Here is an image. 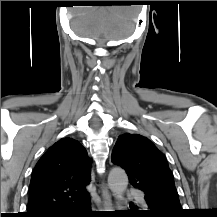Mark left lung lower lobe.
Returning a JSON list of instances; mask_svg holds the SVG:
<instances>
[{
    "label": "left lung lower lobe",
    "mask_w": 217,
    "mask_h": 217,
    "mask_svg": "<svg viewBox=\"0 0 217 217\" xmlns=\"http://www.w3.org/2000/svg\"><path fill=\"white\" fill-rule=\"evenodd\" d=\"M150 210L146 211L145 214L149 217H176L177 215H173V214H169V213H165V212H161L156 210L152 205H149Z\"/></svg>",
    "instance_id": "obj_1"
}]
</instances>
